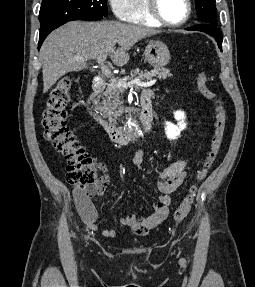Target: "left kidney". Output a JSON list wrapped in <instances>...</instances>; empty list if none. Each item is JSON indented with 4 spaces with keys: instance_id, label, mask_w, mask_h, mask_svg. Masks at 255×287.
<instances>
[{
    "instance_id": "5707ae66",
    "label": "left kidney",
    "mask_w": 255,
    "mask_h": 287,
    "mask_svg": "<svg viewBox=\"0 0 255 287\" xmlns=\"http://www.w3.org/2000/svg\"><path fill=\"white\" fill-rule=\"evenodd\" d=\"M174 118L178 122L176 126L175 124H172V122H165V134L168 140H177L182 130L187 126V124H185L186 116L181 110H179V112H174Z\"/></svg>"
}]
</instances>
